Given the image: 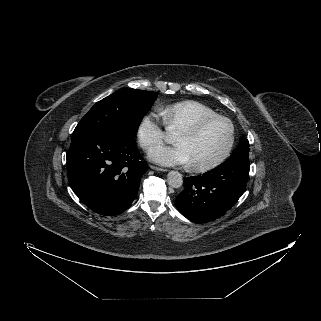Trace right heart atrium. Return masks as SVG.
I'll return each instance as SVG.
<instances>
[{
	"label": "right heart atrium",
	"mask_w": 321,
	"mask_h": 321,
	"mask_svg": "<svg viewBox=\"0 0 321 321\" xmlns=\"http://www.w3.org/2000/svg\"><path fill=\"white\" fill-rule=\"evenodd\" d=\"M165 136V124L158 119L156 113H149L142 118L137 129V138L140 146L147 150L161 143Z\"/></svg>",
	"instance_id": "obj_1"
}]
</instances>
